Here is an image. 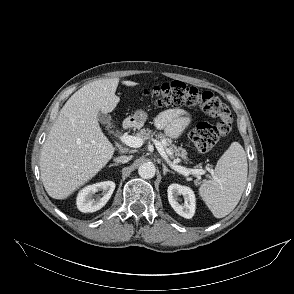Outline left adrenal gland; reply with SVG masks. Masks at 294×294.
<instances>
[{
  "mask_svg": "<svg viewBox=\"0 0 294 294\" xmlns=\"http://www.w3.org/2000/svg\"><path fill=\"white\" fill-rule=\"evenodd\" d=\"M163 166V174L166 175L167 172L174 174L173 171L169 170L165 164H162Z\"/></svg>",
  "mask_w": 294,
  "mask_h": 294,
  "instance_id": "obj_1",
  "label": "left adrenal gland"
}]
</instances>
